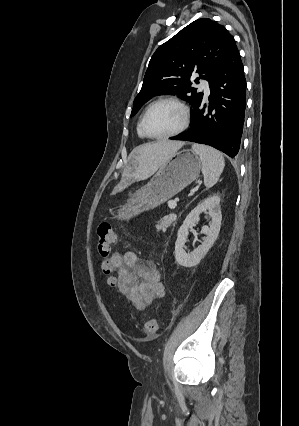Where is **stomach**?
<instances>
[{
    "label": "stomach",
    "mask_w": 299,
    "mask_h": 426,
    "mask_svg": "<svg viewBox=\"0 0 299 426\" xmlns=\"http://www.w3.org/2000/svg\"><path fill=\"white\" fill-rule=\"evenodd\" d=\"M202 162L193 150L176 152L158 170L151 181L138 189L120 209L117 218L129 220L155 208L192 183L199 175Z\"/></svg>",
    "instance_id": "obj_1"
}]
</instances>
